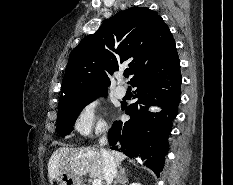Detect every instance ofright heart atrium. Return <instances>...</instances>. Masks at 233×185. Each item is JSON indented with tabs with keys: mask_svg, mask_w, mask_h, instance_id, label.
I'll return each mask as SVG.
<instances>
[{
	"mask_svg": "<svg viewBox=\"0 0 233 185\" xmlns=\"http://www.w3.org/2000/svg\"><path fill=\"white\" fill-rule=\"evenodd\" d=\"M73 131L81 138L100 134L107 128L103 117V109L99 101L89 99L81 104L72 124Z\"/></svg>",
	"mask_w": 233,
	"mask_h": 185,
	"instance_id": "1",
	"label": "right heart atrium"
}]
</instances>
